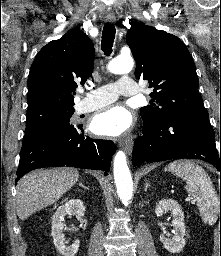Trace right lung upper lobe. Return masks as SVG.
I'll return each instance as SVG.
<instances>
[{
  "instance_id": "1",
  "label": "right lung upper lobe",
  "mask_w": 221,
  "mask_h": 256,
  "mask_svg": "<svg viewBox=\"0 0 221 256\" xmlns=\"http://www.w3.org/2000/svg\"><path fill=\"white\" fill-rule=\"evenodd\" d=\"M94 46L80 30H71L45 45L28 76L27 112L73 107L76 87L93 72Z\"/></svg>"
}]
</instances>
